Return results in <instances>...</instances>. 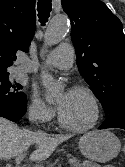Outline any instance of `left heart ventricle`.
Masks as SVG:
<instances>
[{
	"label": "left heart ventricle",
	"mask_w": 125,
	"mask_h": 167,
	"mask_svg": "<svg viewBox=\"0 0 125 167\" xmlns=\"http://www.w3.org/2000/svg\"><path fill=\"white\" fill-rule=\"evenodd\" d=\"M62 96L59 98L58 103L61 101ZM60 113L70 125L82 127L91 122L94 116V107L87 95L70 91L60 109Z\"/></svg>",
	"instance_id": "b2bd125f"
}]
</instances>
